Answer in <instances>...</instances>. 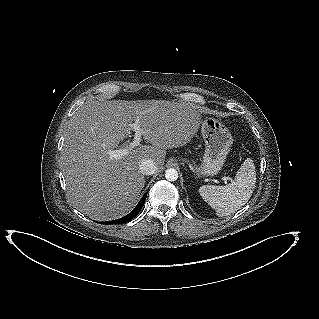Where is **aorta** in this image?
I'll use <instances>...</instances> for the list:
<instances>
[{"mask_svg":"<svg viewBox=\"0 0 319 319\" xmlns=\"http://www.w3.org/2000/svg\"><path fill=\"white\" fill-rule=\"evenodd\" d=\"M165 178L168 181H176L178 179V172L174 168L167 169L165 171Z\"/></svg>","mask_w":319,"mask_h":319,"instance_id":"obj_1","label":"aorta"}]
</instances>
